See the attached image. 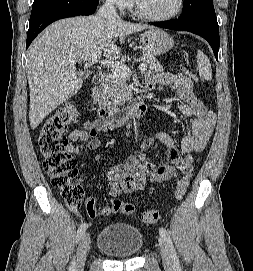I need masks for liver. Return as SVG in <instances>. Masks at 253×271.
Instances as JSON below:
<instances>
[{
  "label": "liver",
  "mask_w": 253,
  "mask_h": 271,
  "mask_svg": "<svg viewBox=\"0 0 253 271\" xmlns=\"http://www.w3.org/2000/svg\"><path fill=\"white\" fill-rule=\"evenodd\" d=\"M146 25L123 20L108 21L97 15L66 18L48 26L28 49L27 78L30 89V127L75 95L83 85L76 63L103 52L109 60L121 56L125 37Z\"/></svg>",
  "instance_id": "6515ba94"
}]
</instances>
